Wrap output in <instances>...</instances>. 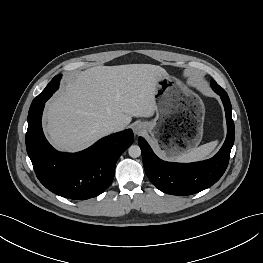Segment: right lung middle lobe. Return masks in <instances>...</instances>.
Wrapping results in <instances>:
<instances>
[{
  "label": "right lung middle lobe",
  "instance_id": "right-lung-middle-lobe-1",
  "mask_svg": "<svg viewBox=\"0 0 263 263\" xmlns=\"http://www.w3.org/2000/svg\"><path fill=\"white\" fill-rule=\"evenodd\" d=\"M60 78H61V75L55 76L51 80V82L47 85V87L33 100L30 108H33L36 105H38L41 102L45 94H48L50 92L54 93L58 89Z\"/></svg>",
  "mask_w": 263,
  "mask_h": 263
}]
</instances>
